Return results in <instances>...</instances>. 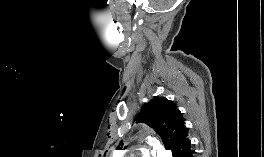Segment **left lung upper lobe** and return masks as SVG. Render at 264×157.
Returning <instances> with one entry per match:
<instances>
[{
	"instance_id": "1",
	"label": "left lung upper lobe",
	"mask_w": 264,
	"mask_h": 157,
	"mask_svg": "<svg viewBox=\"0 0 264 157\" xmlns=\"http://www.w3.org/2000/svg\"><path fill=\"white\" fill-rule=\"evenodd\" d=\"M185 119L175 103L167 98H154L145 104L137 123H146L160 135L164 146L172 152L188 139ZM119 148V147H118Z\"/></svg>"
}]
</instances>
